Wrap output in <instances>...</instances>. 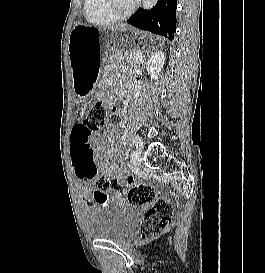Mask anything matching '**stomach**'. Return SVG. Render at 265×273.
<instances>
[{"instance_id":"stomach-1","label":"stomach","mask_w":265,"mask_h":273,"mask_svg":"<svg viewBox=\"0 0 265 273\" xmlns=\"http://www.w3.org/2000/svg\"><path fill=\"white\" fill-rule=\"evenodd\" d=\"M162 40L154 35H143V30L130 27L110 29L78 23L72 29L68 52L75 88L78 95H89L98 78H108L117 64H134L139 56H148V51L157 49Z\"/></svg>"}]
</instances>
